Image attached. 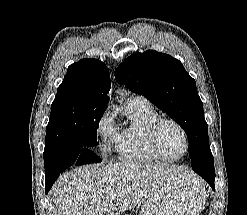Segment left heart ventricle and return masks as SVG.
Here are the masks:
<instances>
[{
  "label": "left heart ventricle",
  "mask_w": 247,
  "mask_h": 215,
  "mask_svg": "<svg viewBox=\"0 0 247 215\" xmlns=\"http://www.w3.org/2000/svg\"><path fill=\"white\" fill-rule=\"evenodd\" d=\"M160 146L167 156H180L184 151V139L181 132L174 125H164L160 133Z\"/></svg>",
  "instance_id": "b2bd125f"
}]
</instances>
